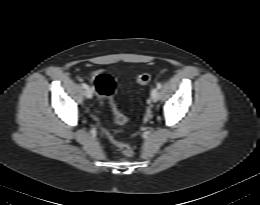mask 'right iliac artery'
Returning <instances> with one entry per match:
<instances>
[{
	"label": "right iliac artery",
	"instance_id": "82829eb1",
	"mask_svg": "<svg viewBox=\"0 0 260 205\" xmlns=\"http://www.w3.org/2000/svg\"><path fill=\"white\" fill-rule=\"evenodd\" d=\"M81 85H82V87H83L84 89H86V88L88 87V85H87L86 83H82Z\"/></svg>",
	"mask_w": 260,
	"mask_h": 205
}]
</instances>
